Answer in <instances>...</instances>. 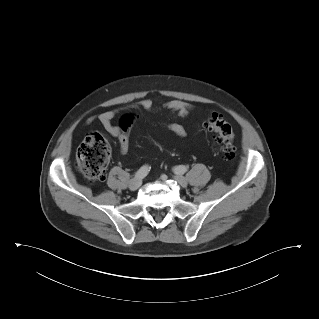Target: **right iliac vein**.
Here are the masks:
<instances>
[{
  "label": "right iliac vein",
  "mask_w": 319,
  "mask_h": 319,
  "mask_svg": "<svg viewBox=\"0 0 319 319\" xmlns=\"http://www.w3.org/2000/svg\"><path fill=\"white\" fill-rule=\"evenodd\" d=\"M142 184V180L140 178H133L129 183V188L132 191L137 190Z\"/></svg>",
  "instance_id": "63e3f726"
}]
</instances>
